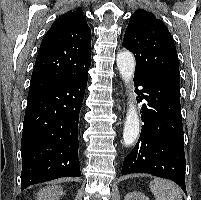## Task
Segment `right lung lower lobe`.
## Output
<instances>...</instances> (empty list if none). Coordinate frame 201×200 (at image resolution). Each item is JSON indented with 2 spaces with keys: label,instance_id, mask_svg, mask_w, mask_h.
Segmentation results:
<instances>
[{
  "label": "right lung lower lobe",
  "instance_id": "obj_1",
  "mask_svg": "<svg viewBox=\"0 0 201 200\" xmlns=\"http://www.w3.org/2000/svg\"><path fill=\"white\" fill-rule=\"evenodd\" d=\"M89 67L70 81L28 94L21 140V190L81 176L77 129Z\"/></svg>",
  "mask_w": 201,
  "mask_h": 200
}]
</instances>
